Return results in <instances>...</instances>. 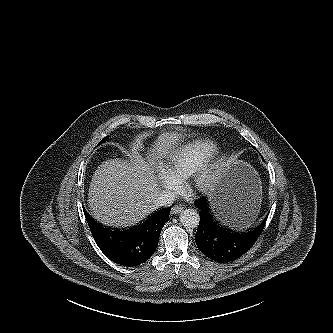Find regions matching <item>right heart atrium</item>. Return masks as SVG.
I'll list each match as a JSON object with an SVG mask.
<instances>
[{
	"label": "right heart atrium",
	"instance_id": "d8ad5b80",
	"mask_svg": "<svg viewBox=\"0 0 333 333\" xmlns=\"http://www.w3.org/2000/svg\"><path fill=\"white\" fill-rule=\"evenodd\" d=\"M161 181L165 188L172 191H176L180 185L179 179L168 170H161Z\"/></svg>",
	"mask_w": 333,
	"mask_h": 333
}]
</instances>
